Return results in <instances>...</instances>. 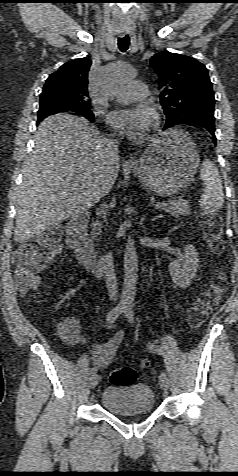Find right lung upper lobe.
Here are the masks:
<instances>
[{
    "label": "right lung upper lobe",
    "instance_id": "right-lung-upper-lobe-1",
    "mask_svg": "<svg viewBox=\"0 0 238 476\" xmlns=\"http://www.w3.org/2000/svg\"><path fill=\"white\" fill-rule=\"evenodd\" d=\"M88 58H79L63 64L46 80L40 102L58 103L68 109L90 106L88 94Z\"/></svg>",
    "mask_w": 238,
    "mask_h": 476
}]
</instances>
